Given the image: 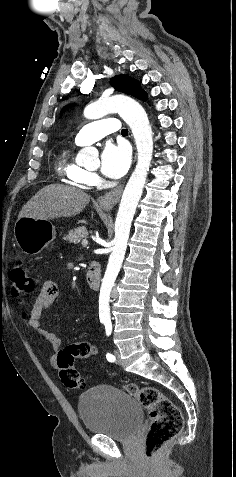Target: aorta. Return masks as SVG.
<instances>
[{
  "label": "aorta",
  "instance_id": "aorta-1",
  "mask_svg": "<svg viewBox=\"0 0 236 477\" xmlns=\"http://www.w3.org/2000/svg\"><path fill=\"white\" fill-rule=\"evenodd\" d=\"M117 112L129 125L137 148V164L124 189L115 221L114 247L109 257L107 269L99 295V317L110 319V294L120 271L129 239L131 223L141 198L153 153L152 129L143 107L134 99L124 95L101 98L84 109L87 119H99ZM97 155V150L87 147L79 152L83 160Z\"/></svg>",
  "mask_w": 236,
  "mask_h": 477
}]
</instances>
